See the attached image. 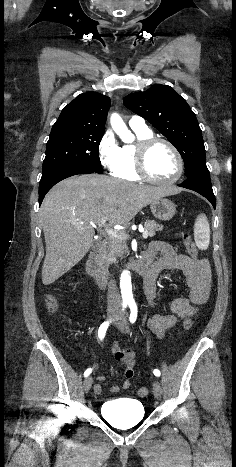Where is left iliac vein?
Returning a JSON list of instances; mask_svg holds the SVG:
<instances>
[{"label": "left iliac vein", "mask_w": 236, "mask_h": 467, "mask_svg": "<svg viewBox=\"0 0 236 467\" xmlns=\"http://www.w3.org/2000/svg\"><path fill=\"white\" fill-rule=\"evenodd\" d=\"M116 327L122 331L123 333H128L129 332V326L126 320L125 314L121 315L116 321H115ZM153 394L156 399H160L162 395V386L161 383L157 380L153 382Z\"/></svg>", "instance_id": "obj_1"}]
</instances>
